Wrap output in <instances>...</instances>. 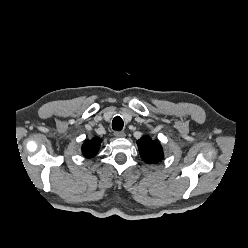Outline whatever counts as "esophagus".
<instances>
[{
	"label": "esophagus",
	"mask_w": 248,
	"mask_h": 248,
	"mask_svg": "<svg viewBox=\"0 0 248 248\" xmlns=\"http://www.w3.org/2000/svg\"><path fill=\"white\" fill-rule=\"evenodd\" d=\"M114 136L116 138H123L126 136V134L123 131H116V132H114Z\"/></svg>",
	"instance_id": "obj_1"
}]
</instances>
